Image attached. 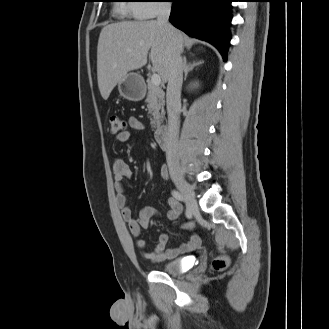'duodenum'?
Masks as SVG:
<instances>
[{"mask_svg":"<svg viewBox=\"0 0 329 329\" xmlns=\"http://www.w3.org/2000/svg\"><path fill=\"white\" fill-rule=\"evenodd\" d=\"M155 130V138L158 144L162 149H169L170 147V138H169V132L165 125L161 123H156L154 125Z\"/></svg>","mask_w":329,"mask_h":329,"instance_id":"1","label":"duodenum"}]
</instances>
